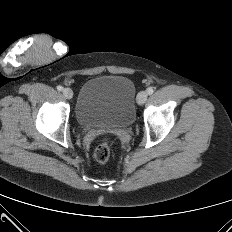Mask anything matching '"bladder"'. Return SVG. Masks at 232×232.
Segmentation results:
<instances>
[{
    "mask_svg": "<svg viewBox=\"0 0 232 232\" xmlns=\"http://www.w3.org/2000/svg\"><path fill=\"white\" fill-rule=\"evenodd\" d=\"M136 91L124 76H96L81 87L75 116L82 127H129L136 115Z\"/></svg>",
    "mask_w": 232,
    "mask_h": 232,
    "instance_id": "1",
    "label": "bladder"
}]
</instances>
